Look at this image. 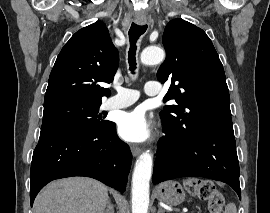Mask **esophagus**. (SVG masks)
<instances>
[{
	"instance_id": "34e87169",
	"label": "esophagus",
	"mask_w": 270,
	"mask_h": 213,
	"mask_svg": "<svg viewBox=\"0 0 270 213\" xmlns=\"http://www.w3.org/2000/svg\"><path fill=\"white\" fill-rule=\"evenodd\" d=\"M135 21L139 25H144L147 22V18L146 17H143V16L136 17L135 18ZM131 152H132L133 156L136 157V156H138L140 154L141 149L138 146H132L131 147Z\"/></svg>"
}]
</instances>
